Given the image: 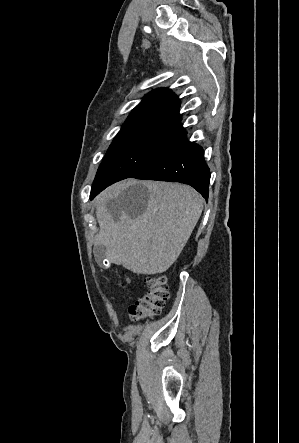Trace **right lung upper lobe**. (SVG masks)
<instances>
[{
	"instance_id": "cb5924a9",
	"label": "right lung upper lobe",
	"mask_w": 299,
	"mask_h": 443,
	"mask_svg": "<svg viewBox=\"0 0 299 443\" xmlns=\"http://www.w3.org/2000/svg\"><path fill=\"white\" fill-rule=\"evenodd\" d=\"M179 107L178 98L169 89H156L136 106L120 131L145 121L180 123Z\"/></svg>"
}]
</instances>
